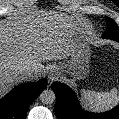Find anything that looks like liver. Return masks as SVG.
I'll use <instances>...</instances> for the list:
<instances>
[{"label": "liver", "instance_id": "6515ba94", "mask_svg": "<svg viewBox=\"0 0 119 119\" xmlns=\"http://www.w3.org/2000/svg\"><path fill=\"white\" fill-rule=\"evenodd\" d=\"M56 20L58 27L32 19L0 22V98L24 81L22 69L35 68L30 79H36L44 72L42 62L70 55L77 26L67 17L56 15Z\"/></svg>", "mask_w": 119, "mask_h": 119}]
</instances>
